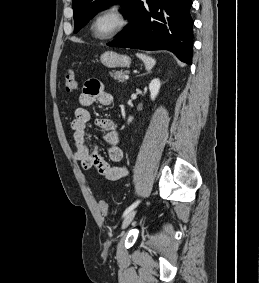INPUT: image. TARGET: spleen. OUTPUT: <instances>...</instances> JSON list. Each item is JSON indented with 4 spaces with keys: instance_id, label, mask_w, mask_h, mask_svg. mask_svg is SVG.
Instances as JSON below:
<instances>
[{
    "instance_id": "3e777b00",
    "label": "spleen",
    "mask_w": 259,
    "mask_h": 283,
    "mask_svg": "<svg viewBox=\"0 0 259 283\" xmlns=\"http://www.w3.org/2000/svg\"><path fill=\"white\" fill-rule=\"evenodd\" d=\"M136 55L144 62L145 67L148 71L151 70L156 63L155 59L152 57L140 53H137Z\"/></svg>"
}]
</instances>
